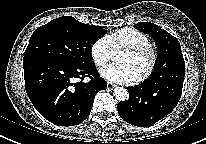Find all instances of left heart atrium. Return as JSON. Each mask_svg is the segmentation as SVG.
Here are the masks:
<instances>
[{"label":"left heart atrium","instance_id":"1","mask_svg":"<svg viewBox=\"0 0 206 144\" xmlns=\"http://www.w3.org/2000/svg\"><path fill=\"white\" fill-rule=\"evenodd\" d=\"M100 74L115 83H130L137 79L132 67L126 63L108 65L100 70Z\"/></svg>","mask_w":206,"mask_h":144}]
</instances>
